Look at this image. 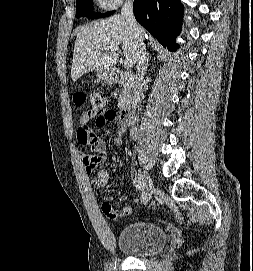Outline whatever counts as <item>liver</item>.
<instances>
[{"label": "liver", "mask_w": 253, "mask_h": 271, "mask_svg": "<svg viewBox=\"0 0 253 271\" xmlns=\"http://www.w3.org/2000/svg\"><path fill=\"white\" fill-rule=\"evenodd\" d=\"M120 45L126 59L136 63L139 44L121 15H113L79 28L71 67L72 80L76 81L88 71H111L118 61V54L111 50Z\"/></svg>", "instance_id": "1"}]
</instances>
